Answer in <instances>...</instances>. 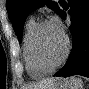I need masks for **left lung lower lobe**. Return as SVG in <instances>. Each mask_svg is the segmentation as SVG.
I'll list each match as a JSON object with an SVG mask.
<instances>
[{
    "mask_svg": "<svg viewBox=\"0 0 89 89\" xmlns=\"http://www.w3.org/2000/svg\"><path fill=\"white\" fill-rule=\"evenodd\" d=\"M68 4L73 46L66 64L54 76L89 77V0H68ZM60 16L66 19V13L63 10Z\"/></svg>",
    "mask_w": 89,
    "mask_h": 89,
    "instance_id": "left-lung-lower-lobe-1",
    "label": "left lung lower lobe"
}]
</instances>
